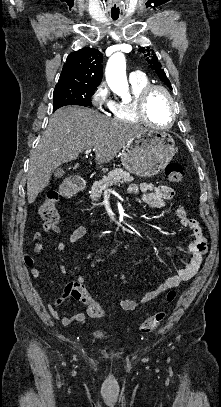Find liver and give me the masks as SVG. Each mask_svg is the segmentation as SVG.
<instances>
[{
    "instance_id": "liver-1",
    "label": "liver",
    "mask_w": 221,
    "mask_h": 407,
    "mask_svg": "<svg viewBox=\"0 0 221 407\" xmlns=\"http://www.w3.org/2000/svg\"><path fill=\"white\" fill-rule=\"evenodd\" d=\"M144 129L138 125L105 117L78 106L62 107L50 117L36 149L30 157L27 200L32 204L49 185L54 170L76 160L87 149L95 150L97 164L110 162Z\"/></svg>"
}]
</instances>
